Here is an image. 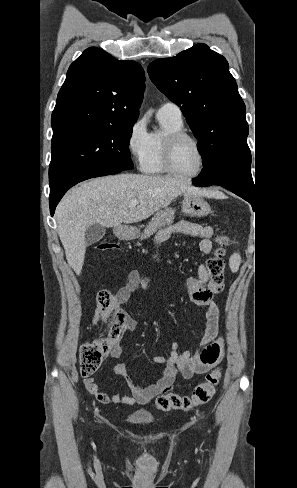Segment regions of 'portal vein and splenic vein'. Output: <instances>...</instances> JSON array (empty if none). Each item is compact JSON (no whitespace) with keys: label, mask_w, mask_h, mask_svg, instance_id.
Here are the masks:
<instances>
[{"label":"portal vein and splenic vein","mask_w":297,"mask_h":488,"mask_svg":"<svg viewBox=\"0 0 297 488\" xmlns=\"http://www.w3.org/2000/svg\"><path fill=\"white\" fill-rule=\"evenodd\" d=\"M138 204V200L137 199H132L129 203V207H135L136 205Z\"/></svg>","instance_id":"1"}]
</instances>
